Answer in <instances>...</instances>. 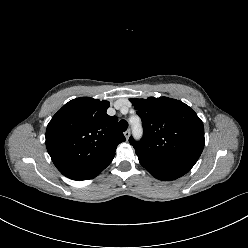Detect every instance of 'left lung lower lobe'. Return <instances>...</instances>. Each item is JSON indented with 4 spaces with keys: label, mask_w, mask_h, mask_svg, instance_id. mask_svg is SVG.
<instances>
[{
    "label": "left lung lower lobe",
    "mask_w": 248,
    "mask_h": 248,
    "mask_svg": "<svg viewBox=\"0 0 248 248\" xmlns=\"http://www.w3.org/2000/svg\"><path fill=\"white\" fill-rule=\"evenodd\" d=\"M155 178L159 179V180H163V181H170V180H174L177 179L178 177L176 176H172V175H162V174H157V173H152L150 172Z\"/></svg>",
    "instance_id": "left-lung-lower-lobe-1"
}]
</instances>
